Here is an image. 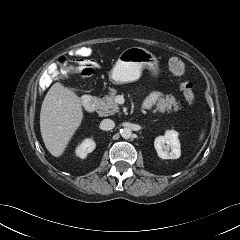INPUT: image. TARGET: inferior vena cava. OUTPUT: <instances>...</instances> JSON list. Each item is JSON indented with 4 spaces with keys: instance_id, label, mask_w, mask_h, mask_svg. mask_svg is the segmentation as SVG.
Listing matches in <instances>:
<instances>
[{
    "instance_id": "inferior-vena-cava-1",
    "label": "inferior vena cava",
    "mask_w": 240,
    "mask_h": 240,
    "mask_svg": "<svg viewBox=\"0 0 240 240\" xmlns=\"http://www.w3.org/2000/svg\"><path fill=\"white\" fill-rule=\"evenodd\" d=\"M102 130H112L115 127V123L111 119H104L100 123Z\"/></svg>"
}]
</instances>
